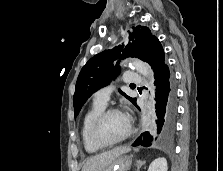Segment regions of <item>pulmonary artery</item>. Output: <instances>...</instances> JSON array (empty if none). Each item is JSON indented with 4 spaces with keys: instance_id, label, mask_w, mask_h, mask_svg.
Listing matches in <instances>:
<instances>
[{
    "instance_id": "1",
    "label": "pulmonary artery",
    "mask_w": 223,
    "mask_h": 171,
    "mask_svg": "<svg viewBox=\"0 0 223 171\" xmlns=\"http://www.w3.org/2000/svg\"><path fill=\"white\" fill-rule=\"evenodd\" d=\"M124 81L128 84H136L142 81L140 75L134 72H129L125 75ZM112 86H106L98 90L94 94V101L106 105L112 93Z\"/></svg>"
}]
</instances>
